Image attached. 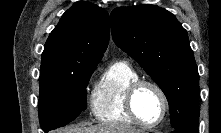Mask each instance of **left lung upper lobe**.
Segmentation results:
<instances>
[{"label": "left lung upper lobe", "mask_w": 221, "mask_h": 133, "mask_svg": "<svg viewBox=\"0 0 221 133\" xmlns=\"http://www.w3.org/2000/svg\"><path fill=\"white\" fill-rule=\"evenodd\" d=\"M115 43L159 85L176 129L199 122V74L186 30L156 5L118 7L111 13Z\"/></svg>", "instance_id": "left-lung-upper-lobe-1"}]
</instances>
